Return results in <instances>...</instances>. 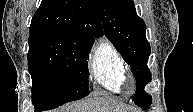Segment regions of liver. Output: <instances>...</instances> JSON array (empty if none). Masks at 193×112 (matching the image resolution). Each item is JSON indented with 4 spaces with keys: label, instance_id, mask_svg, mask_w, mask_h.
<instances>
[{
    "label": "liver",
    "instance_id": "liver-1",
    "mask_svg": "<svg viewBox=\"0 0 193 112\" xmlns=\"http://www.w3.org/2000/svg\"><path fill=\"white\" fill-rule=\"evenodd\" d=\"M127 108L117 102L102 98H90L79 103L70 104L61 112H126Z\"/></svg>",
    "mask_w": 193,
    "mask_h": 112
}]
</instances>
